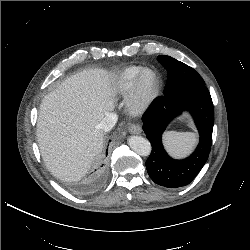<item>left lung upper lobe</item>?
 <instances>
[{
  "instance_id": "1",
  "label": "left lung upper lobe",
  "mask_w": 250,
  "mask_h": 250,
  "mask_svg": "<svg viewBox=\"0 0 250 250\" xmlns=\"http://www.w3.org/2000/svg\"><path fill=\"white\" fill-rule=\"evenodd\" d=\"M157 59L168 72L164 96L194 86L205 85L202 77L188 65L170 56L160 55Z\"/></svg>"
}]
</instances>
